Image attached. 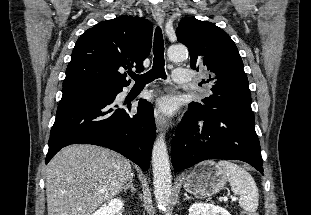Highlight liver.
Masks as SVG:
<instances>
[{
  "label": "liver",
  "mask_w": 311,
  "mask_h": 215,
  "mask_svg": "<svg viewBox=\"0 0 311 215\" xmlns=\"http://www.w3.org/2000/svg\"><path fill=\"white\" fill-rule=\"evenodd\" d=\"M132 175L130 162L114 151L93 145L67 146L46 168L48 215H92L119 194Z\"/></svg>",
  "instance_id": "obj_1"
}]
</instances>
